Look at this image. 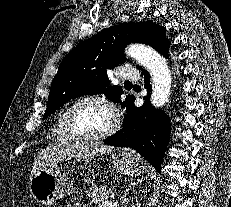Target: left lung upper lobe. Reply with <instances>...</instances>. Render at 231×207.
Returning <instances> with one entry per match:
<instances>
[{
    "label": "left lung upper lobe",
    "instance_id": "1",
    "mask_svg": "<svg viewBox=\"0 0 231 207\" xmlns=\"http://www.w3.org/2000/svg\"><path fill=\"white\" fill-rule=\"evenodd\" d=\"M165 31V28L151 20L123 23L104 29L80 43L59 65L43 118H47L70 99L89 94L103 93L127 109L134 97L129 95L126 101L121 102L123 90L118 86H109L107 71L125 61L123 50L126 44L144 43L162 52L169 45ZM137 68H140L139 65Z\"/></svg>",
    "mask_w": 231,
    "mask_h": 207
}]
</instances>
